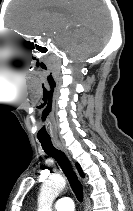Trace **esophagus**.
<instances>
[{"label": "esophagus", "mask_w": 133, "mask_h": 211, "mask_svg": "<svg viewBox=\"0 0 133 211\" xmlns=\"http://www.w3.org/2000/svg\"><path fill=\"white\" fill-rule=\"evenodd\" d=\"M54 145L59 149L61 150L62 152H64L67 157L69 158V160L71 161L70 159V156L68 154V151L66 150V148L64 147V145L60 142V141H54Z\"/></svg>", "instance_id": "obj_1"}]
</instances>
